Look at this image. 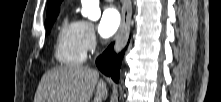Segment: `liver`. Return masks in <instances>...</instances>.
Returning <instances> with one entry per match:
<instances>
[{"label":"liver","mask_w":221,"mask_h":102,"mask_svg":"<svg viewBox=\"0 0 221 102\" xmlns=\"http://www.w3.org/2000/svg\"><path fill=\"white\" fill-rule=\"evenodd\" d=\"M94 102L108 96L107 85L96 70L83 66H63L47 71L38 86L34 102Z\"/></svg>","instance_id":"1"}]
</instances>
